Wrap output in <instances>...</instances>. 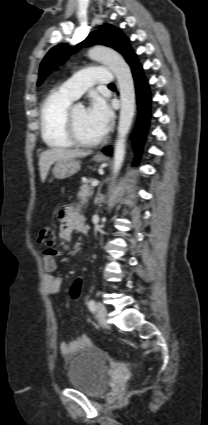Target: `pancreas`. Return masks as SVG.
Instances as JSON below:
<instances>
[{"label": "pancreas", "mask_w": 208, "mask_h": 425, "mask_svg": "<svg viewBox=\"0 0 208 425\" xmlns=\"http://www.w3.org/2000/svg\"><path fill=\"white\" fill-rule=\"evenodd\" d=\"M92 181L93 179L82 181V186L80 188V191L78 192V200L81 204L86 203L88 199L93 195V188L89 186Z\"/></svg>", "instance_id": "obj_1"}]
</instances>
